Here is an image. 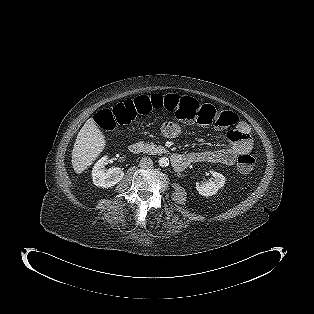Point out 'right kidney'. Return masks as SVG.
<instances>
[{
	"instance_id": "ca27d5eb",
	"label": "right kidney",
	"mask_w": 314,
	"mask_h": 314,
	"mask_svg": "<svg viewBox=\"0 0 314 314\" xmlns=\"http://www.w3.org/2000/svg\"><path fill=\"white\" fill-rule=\"evenodd\" d=\"M109 159L107 156L98 160L92 170L93 183L97 187L110 188L115 186L124 176V172L121 168L106 169Z\"/></svg>"
}]
</instances>
